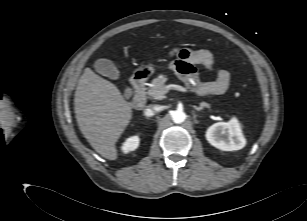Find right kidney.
<instances>
[{"instance_id": "1", "label": "right kidney", "mask_w": 307, "mask_h": 221, "mask_svg": "<svg viewBox=\"0 0 307 221\" xmlns=\"http://www.w3.org/2000/svg\"><path fill=\"white\" fill-rule=\"evenodd\" d=\"M139 146V137L132 136L125 140V142L121 146V151L124 154L129 153L130 151L135 150Z\"/></svg>"}]
</instances>
